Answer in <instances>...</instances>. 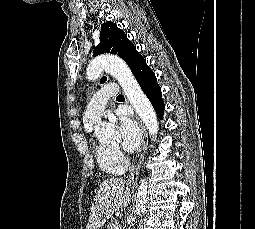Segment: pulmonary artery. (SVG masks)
Listing matches in <instances>:
<instances>
[{
    "label": "pulmonary artery",
    "mask_w": 255,
    "mask_h": 229,
    "mask_svg": "<svg viewBox=\"0 0 255 229\" xmlns=\"http://www.w3.org/2000/svg\"><path fill=\"white\" fill-rule=\"evenodd\" d=\"M118 87L115 84L108 83L100 90L96 91L84 113V122L90 125H96L103 115L107 100L118 93Z\"/></svg>",
    "instance_id": "obj_1"
}]
</instances>
